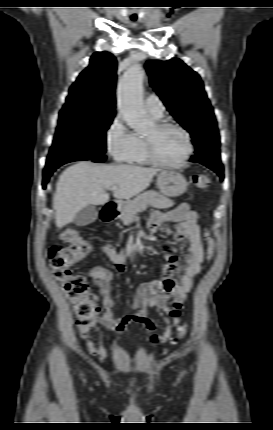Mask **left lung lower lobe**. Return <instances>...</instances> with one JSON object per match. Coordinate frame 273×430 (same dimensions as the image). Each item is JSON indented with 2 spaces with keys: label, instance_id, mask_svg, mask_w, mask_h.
I'll return each instance as SVG.
<instances>
[{
  "label": "left lung lower lobe",
  "instance_id": "obj_1",
  "mask_svg": "<svg viewBox=\"0 0 273 430\" xmlns=\"http://www.w3.org/2000/svg\"><path fill=\"white\" fill-rule=\"evenodd\" d=\"M191 162L201 163L215 171L221 178L224 179L223 165L220 158V150L216 147H206L201 152L196 153L190 159Z\"/></svg>",
  "mask_w": 273,
  "mask_h": 430
}]
</instances>
